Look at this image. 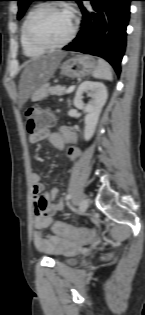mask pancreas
Masks as SVG:
<instances>
[{"label": "pancreas", "instance_id": "obj_1", "mask_svg": "<svg viewBox=\"0 0 145 315\" xmlns=\"http://www.w3.org/2000/svg\"><path fill=\"white\" fill-rule=\"evenodd\" d=\"M66 87L65 86H61V85H56V86H53V87H50L48 90H47V93L50 94V95H63L65 92H66Z\"/></svg>", "mask_w": 145, "mask_h": 315}]
</instances>
